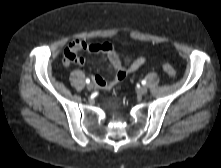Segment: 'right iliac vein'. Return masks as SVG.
Segmentation results:
<instances>
[{"instance_id":"obj_1","label":"right iliac vein","mask_w":221,"mask_h":168,"mask_svg":"<svg viewBox=\"0 0 221 168\" xmlns=\"http://www.w3.org/2000/svg\"><path fill=\"white\" fill-rule=\"evenodd\" d=\"M87 89L88 90H93L94 89V84L93 83H89L88 85H87Z\"/></svg>"}]
</instances>
